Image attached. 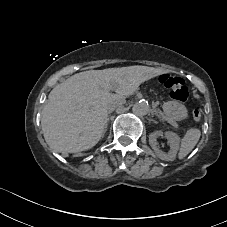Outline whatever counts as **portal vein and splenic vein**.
Here are the masks:
<instances>
[{"label": "portal vein and splenic vein", "mask_w": 227, "mask_h": 227, "mask_svg": "<svg viewBox=\"0 0 227 227\" xmlns=\"http://www.w3.org/2000/svg\"><path fill=\"white\" fill-rule=\"evenodd\" d=\"M154 108L159 112L158 114L164 120L165 123L170 124L173 128H177L178 127V124L175 121H173L172 119L166 118L164 116V114L161 112L162 110L157 105Z\"/></svg>", "instance_id": "18ae733b"}]
</instances>
